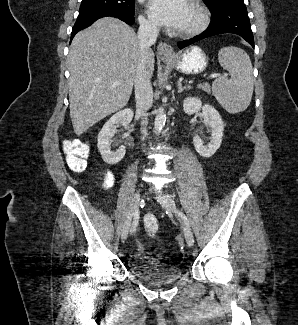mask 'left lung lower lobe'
<instances>
[{
    "instance_id": "obj_1",
    "label": "left lung lower lobe",
    "mask_w": 298,
    "mask_h": 325,
    "mask_svg": "<svg viewBox=\"0 0 298 325\" xmlns=\"http://www.w3.org/2000/svg\"><path fill=\"white\" fill-rule=\"evenodd\" d=\"M224 33L238 34L254 48V37L244 2L231 4L212 14L211 23L202 34L178 42L177 45L182 49L204 38Z\"/></svg>"
}]
</instances>
